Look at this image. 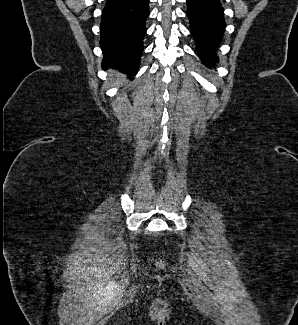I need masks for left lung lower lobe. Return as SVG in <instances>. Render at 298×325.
I'll return each mask as SVG.
<instances>
[{
    "instance_id": "1",
    "label": "left lung lower lobe",
    "mask_w": 298,
    "mask_h": 325,
    "mask_svg": "<svg viewBox=\"0 0 298 325\" xmlns=\"http://www.w3.org/2000/svg\"><path fill=\"white\" fill-rule=\"evenodd\" d=\"M190 30L197 44V52L203 63L214 65L218 60L216 49L220 42L225 21L219 0H186Z\"/></svg>"
}]
</instances>
